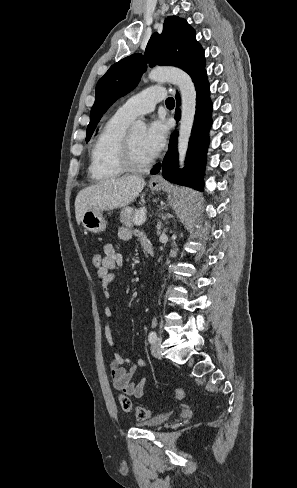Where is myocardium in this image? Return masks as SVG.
<instances>
[{
  "label": "myocardium",
  "instance_id": "1",
  "mask_svg": "<svg viewBox=\"0 0 297 488\" xmlns=\"http://www.w3.org/2000/svg\"><path fill=\"white\" fill-rule=\"evenodd\" d=\"M120 163L125 171L140 173L147 171L153 165L154 159L151 158L144 164H137L133 159L130 137L125 135L121 148Z\"/></svg>",
  "mask_w": 297,
  "mask_h": 488
}]
</instances>
